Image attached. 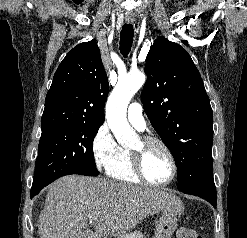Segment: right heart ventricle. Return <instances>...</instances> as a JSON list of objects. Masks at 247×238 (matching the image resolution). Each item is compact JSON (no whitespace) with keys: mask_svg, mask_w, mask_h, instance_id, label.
Wrapping results in <instances>:
<instances>
[{"mask_svg":"<svg viewBox=\"0 0 247 238\" xmlns=\"http://www.w3.org/2000/svg\"><path fill=\"white\" fill-rule=\"evenodd\" d=\"M106 172L110 178L123 183L138 184L141 182L134 171L130 150L124 147H120L116 158Z\"/></svg>","mask_w":247,"mask_h":238,"instance_id":"1","label":"right heart ventricle"}]
</instances>
